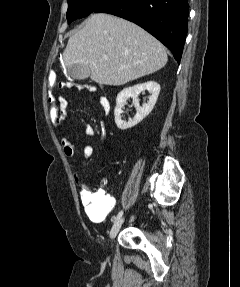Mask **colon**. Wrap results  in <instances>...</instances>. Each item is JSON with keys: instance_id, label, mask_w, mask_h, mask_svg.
I'll return each instance as SVG.
<instances>
[{"instance_id": "colon-1", "label": "colon", "mask_w": 240, "mask_h": 287, "mask_svg": "<svg viewBox=\"0 0 240 287\" xmlns=\"http://www.w3.org/2000/svg\"><path fill=\"white\" fill-rule=\"evenodd\" d=\"M49 91L47 94L48 113L54 128L60 129L66 120L67 100L58 93L57 89L78 88L89 90L90 86L68 81H58L56 71L52 70L48 76Z\"/></svg>"}]
</instances>
